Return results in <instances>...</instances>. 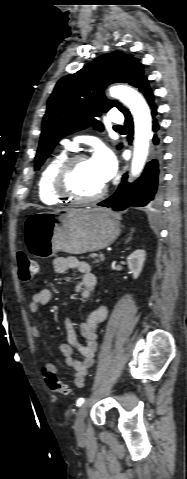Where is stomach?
<instances>
[{
  "mask_svg": "<svg viewBox=\"0 0 187 479\" xmlns=\"http://www.w3.org/2000/svg\"><path fill=\"white\" fill-rule=\"evenodd\" d=\"M120 234V223L105 208H71L36 212L24 222V239L31 255L50 258L58 251L70 254L101 250Z\"/></svg>",
  "mask_w": 187,
  "mask_h": 479,
  "instance_id": "stomach-1",
  "label": "stomach"
}]
</instances>
